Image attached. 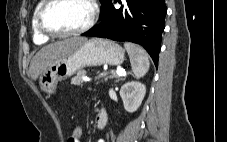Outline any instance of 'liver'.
<instances>
[{"label": "liver", "instance_id": "6515ba94", "mask_svg": "<svg viewBox=\"0 0 227 142\" xmlns=\"http://www.w3.org/2000/svg\"><path fill=\"white\" fill-rule=\"evenodd\" d=\"M86 41V38L74 36L43 47L31 60L29 68L31 78L37 80V78L57 60L73 53Z\"/></svg>", "mask_w": 227, "mask_h": 142}]
</instances>
